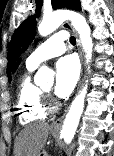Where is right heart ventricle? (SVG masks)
Masks as SVG:
<instances>
[{"instance_id":"1","label":"right heart ventricle","mask_w":114,"mask_h":156,"mask_svg":"<svg viewBox=\"0 0 114 156\" xmlns=\"http://www.w3.org/2000/svg\"><path fill=\"white\" fill-rule=\"evenodd\" d=\"M35 66L26 63L17 86V110L20 123L23 125L42 120L47 115L42 89L32 81Z\"/></svg>"}]
</instances>
